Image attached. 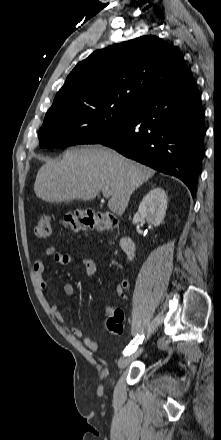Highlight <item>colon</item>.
<instances>
[{
	"label": "colon",
	"instance_id": "obj_1",
	"mask_svg": "<svg viewBox=\"0 0 221 440\" xmlns=\"http://www.w3.org/2000/svg\"><path fill=\"white\" fill-rule=\"evenodd\" d=\"M118 224V219L111 213L95 212L91 209H74L67 211L62 217V225L69 231L96 230L109 231ZM35 234L38 238L46 239L51 235L52 219L48 215L39 217L35 224ZM106 326L108 331L117 336L122 332L123 312L119 308H106Z\"/></svg>",
	"mask_w": 221,
	"mask_h": 440
}]
</instances>
